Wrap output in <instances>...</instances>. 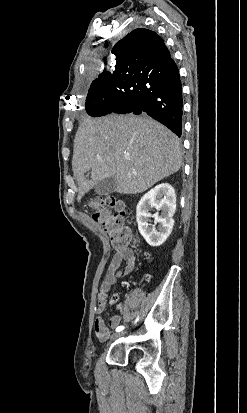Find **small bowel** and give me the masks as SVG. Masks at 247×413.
I'll use <instances>...</instances> for the list:
<instances>
[{"label": "small bowel", "instance_id": "obj_1", "mask_svg": "<svg viewBox=\"0 0 247 413\" xmlns=\"http://www.w3.org/2000/svg\"><path fill=\"white\" fill-rule=\"evenodd\" d=\"M125 263L123 267L122 263ZM135 266V255L131 249H125L123 251H118L112 257V260L104 274L103 280L100 285V290L97 297V318L94 322V333L96 337L101 341L105 342L110 338V330L106 326L101 315L106 310L108 294L111 291L113 284L120 277H123L131 273ZM119 300V295L114 294L110 299V306ZM121 323V317L119 315H113L109 320V325L112 328L119 327Z\"/></svg>", "mask_w": 247, "mask_h": 413}]
</instances>
